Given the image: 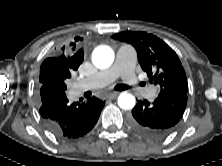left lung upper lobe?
<instances>
[{"label":"left lung upper lobe","instance_id":"obj_1","mask_svg":"<svg viewBox=\"0 0 222 166\" xmlns=\"http://www.w3.org/2000/svg\"><path fill=\"white\" fill-rule=\"evenodd\" d=\"M112 38L135 47L142 69L161 90L188 91L186 74L177 54L161 39L142 31L120 32Z\"/></svg>","mask_w":222,"mask_h":166}]
</instances>
